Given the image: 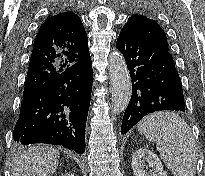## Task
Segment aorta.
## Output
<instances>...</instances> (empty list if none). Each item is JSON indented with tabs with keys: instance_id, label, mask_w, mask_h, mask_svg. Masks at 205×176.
Segmentation results:
<instances>
[{
	"instance_id": "aorta-1",
	"label": "aorta",
	"mask_w": 205,
	"mask_h": 176,
	"mask_svg": "<svg viewBox=\"0 0 205 176\" xmlns=\"http://www.w3.org/2000/svg\"><path fill=\"white\" fill-rule=\"evenodd\" d=\"M109 75L112 87V113L123 112L131 98V81L126 62L119 51H114L109 57Z\"/></svg>"
}]
</instances>
